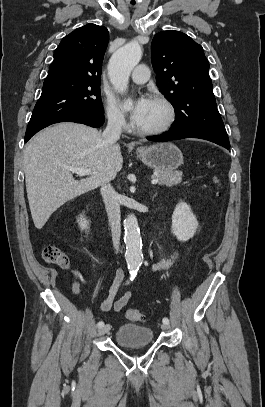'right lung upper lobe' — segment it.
Wrapping results in <instances>:
<instances>
[{
  "mask_svg": "<svg viewBox=\"0 0 265 407\" xmlns=\"http://www.w3.org/2000/svg\"><path fill=\"white\" fill-rule=\"evenodd\" d=\"M109 33L103 26L87 24L64 37L54 51L48 77L101 80V67Z\"/></svg>",
  "mask_w": 265,
  "mask_h": 407,
  "instance_id": "obj_1",
  "label": "right lung upper lobe"
}]
</instances>
